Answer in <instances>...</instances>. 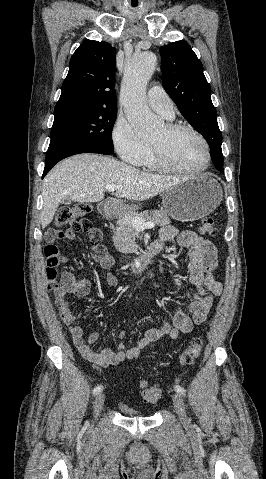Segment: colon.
<instances>
[{
  "label": "colon",
  "mask_w": 266,
  "mask_h": 479,
  "mask_svg": "<svg viewBox=\"0 0 266 479\" xmlns=\"http://www.w3.org/2000/svg\"><path fill=\"white\" fill-rule=\"evenodd\" d=\"M91 212V205L88 203H77L70 206H65L59 209L57 213L58 227L66 226L69 231L73 233H83L88 236L90 242L95 245H100L102 234L96 228L93 222L85 216ZM199 231L201 234L215 237L218 233L215 221L211 217H206L201 220ZM59 230L53 229L47 233V244L44 248V254L47 262V279L49 289L56 283L58 275V267L63 262V256L54 243L58 238ZM102 247V246H101ZM103 248V247H102ZM203 341L199 337L193 338L182 352L180 356V363L182 365H191L201 354ZM142 389V397L148 403H156L161 398V391L156 386L151 385L148 381L142 380L140 382Z\"/></svg>",
  "instance_id": "colon-1"
}]
</instances>
